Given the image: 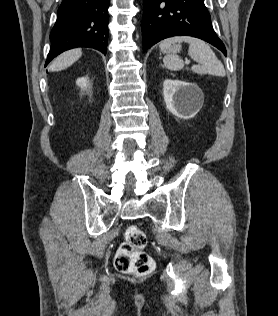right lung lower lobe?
<instances>
[{
	"label": "right lung lower lobe",
	"mask_w": 278,
	"mask_h": 316,
	"mask_svg": "<svg viewBox=\"0 0 278 316\" xmlns=\"http://www.w3.org/2000/svg\"><path fill=\"white\" fill-rule=\"evenodd\" d=\"M110 0H63L50 33L51 48L45 66L60 53L90 47L106 55Z\"/></svg>",
	"instance_id": "right-lung-lower-lobe-1"
}]
</instances>
